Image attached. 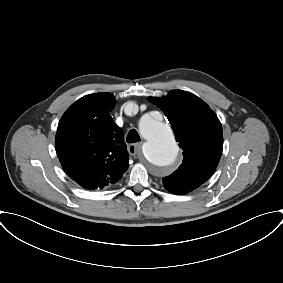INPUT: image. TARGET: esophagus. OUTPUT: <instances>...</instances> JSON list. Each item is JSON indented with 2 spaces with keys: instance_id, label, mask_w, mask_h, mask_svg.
Returning <instances> with one entry per match:
<instances>
[{
  "instance_id": "esophagus-1",
  "label": "esophagus",
  "mask_w": 283,
  "mask_h": 283,
  "mask_svg": "<svg viewBox=\"0 0 283 283\" xmlns=\"http://www.w3.org/2000/svg\"><path fill=\"white\" fill-rule=\"evenodd\" d=\"M142 143H133L128 145V152L132 156H139L141 154Z\"/></svg>"
}]
</instances>
